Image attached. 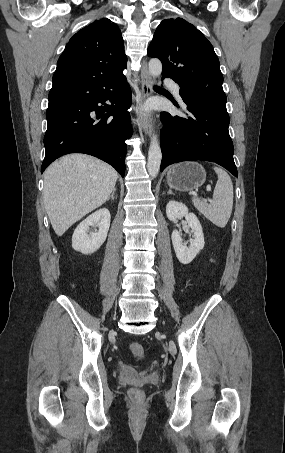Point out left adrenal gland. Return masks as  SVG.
Masks as SVG:
<instances>
[{"label":"left adrenal gland","instance_id":"1","mask_svg":"<svg viewBox=\"0 0 285 453\" xmlns=\"http://www.w3.org/2000/svg\"><path fill=\"white\" fill-rule=\"evenodd\" d=\"M168 194L174 195V193L172 192V190H169V191H168Z\"/></svg>","mask_w":285,"mask_h":453}]
</instances>
